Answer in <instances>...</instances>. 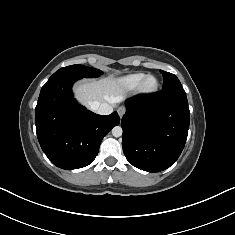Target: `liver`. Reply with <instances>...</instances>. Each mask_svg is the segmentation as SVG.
I'll list each match as a JSON object with an SVG mask.
<instances>
[{
	"mask_svg": "<svg viewBox=\"0 0 235 235\" xmlns=\"http://www.w3.org/2000/svg\"><path fill=\"white\" fill-rule=\"evenodd\" d=\"M75 97L87 107L93 102L115 106L123 100V88L116 78L109 76L100 80H84L73 88Z\"/></svg>",
	"mask_w": 235,
	"mask_h": 235,
	"instance_id": "obj_1",
	"label": "liver"
}]
</instances>
